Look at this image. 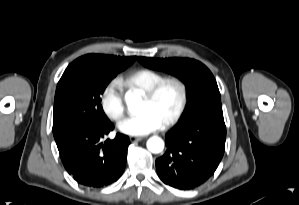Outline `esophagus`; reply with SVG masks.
Segmentation results:
<instances>
[{
	"instance_id": "1",
	"label": "esophagus",
	"mask_w": 299,
	"mask_h": 205,
	"mask_svg": "<svg viewBox=\"0 0 299 205\" xmlns=\"http://www.w3.org/2000/svg\"><path fill=\"white\" fill-rule=\"evenodd\" d=\"M129 139L131 142H138L142 140V137L130 136Z\"/></svg>"
}]
</instances>
